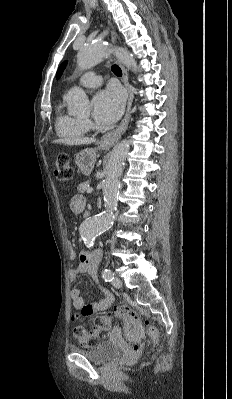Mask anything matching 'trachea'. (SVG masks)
I'll return each instance as SVG.
<instances>
[{
  "instance_id": "trachea-1",
  "label": "trachea",
  "mask_w": 232,
  "mask_h": 399,
  "mask_svg": "<svg viewBox=\"0 0 232 399\" xmlns=\"http://www.w3.org/2000/svg\"><path fill=\"white\" fill-rule=\"evenodd\" d=\"M112 72L117 75V77H121L122 76V70L120 67H118V65H112L111 67Z\"/></svg>"
}]
</instances>
